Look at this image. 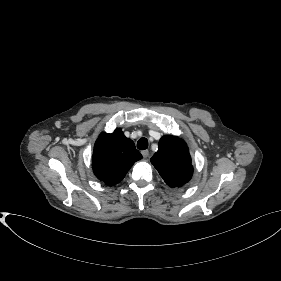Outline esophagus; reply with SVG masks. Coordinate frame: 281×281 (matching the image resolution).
I'll return each mask as SVG.
<instances>
[{
    "label": "esophagus",
    "mask_w": 281,
    "mask_h": 281,
    "mask_svg": "<svg viewBox=\"0 0 281 281\" xmlns=\"http://www.w3.org/2000/svg\"><path fill=\"white\" fill-rule=\"evenodd\" d=\"M141 154L144 158H147L149 156V151L148 150H143L141 151Z\"/></svg>",
    "instance_id": "1"
}]
</instances>
